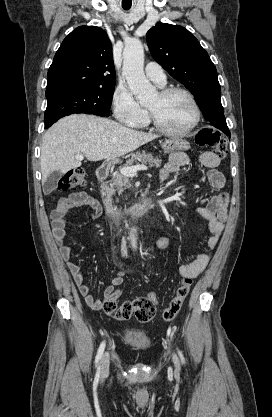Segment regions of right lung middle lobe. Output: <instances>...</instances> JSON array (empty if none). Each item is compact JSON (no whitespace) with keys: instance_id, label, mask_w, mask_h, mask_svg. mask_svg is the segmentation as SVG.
<instances>
[{"instance_id":"obj_1","label":"right lung middle lobe","mask_w":272,"mask_h":417,"mask_svg":"<svg viewBox=\"0 0 272 417\" xmlns=\"http://www.w3.org/2000/svg\"><path fill=\"white\" fill-rule=\"evenodd\" d=\"M114 87L61 88L46 91L48 100L44 115L45 126L73 113L109 116Z\"/></svg>"}]
</instances>
